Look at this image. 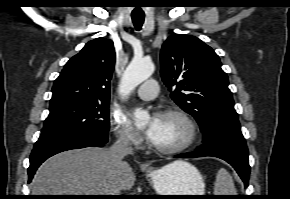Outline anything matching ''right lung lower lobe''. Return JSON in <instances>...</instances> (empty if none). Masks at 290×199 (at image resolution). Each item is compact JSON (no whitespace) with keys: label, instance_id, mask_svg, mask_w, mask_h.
<instances>
[{"label":"right lung lower lobe","instance_id":"right-lung-lower-lobe-1","mask_svg":"<svg viewBox=\"0 0 290 199\" xmlns=\"http://www.w3.org/2000/svg\"><path fill=\"white\" fill-rule=\"evenodd\" d=\"M107 142L108 135H101L97 133H82L71 136L38 140L30 156L28 182H31L37 168L52 155L66 150L84 148L88 146L102 147Z\"/></svg>","mask_w":290,"mask_h":199}]
</instances>
